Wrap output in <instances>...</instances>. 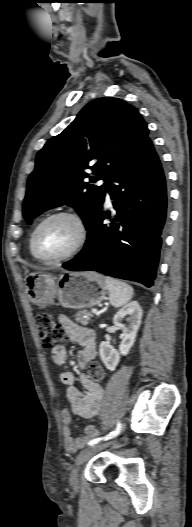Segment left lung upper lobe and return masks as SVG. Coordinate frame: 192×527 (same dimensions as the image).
<instances>
[{
  "label": "left lung upper lobe",
  "mask_w": 192,
  "mask_h": 527,
  "mask_svg": "<svg viewBox=\"0 0 192 527\" xmlns=\"http://www.w3.org/2000/svg\"><path fill=\"white\" fill-rule=\"evenodd\" d=\"M148 134L138 110L122 99L98 98L87 104L38 152L23 203L26 221L31 223L42 212L66 204L77 210L88 229L110 182L149 140ZM99 179L105 184H90Z\"/></svg>",
  "instance_id": "5c2ea615"
}]
</instances>
